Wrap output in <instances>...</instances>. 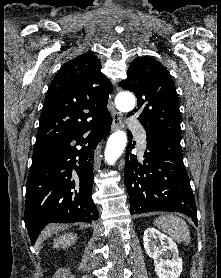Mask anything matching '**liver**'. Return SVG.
Returning a JSON list of instances; mask_svg holds the SVG:
<instances>
[{
	"label": "liver",
	"mask_w": 221,
	"mask_h": 278,
	"mask_svg": "<svg viewBox=\"0 0 221 278\" xmlns=\"http://www.w3.org/2000/svg\"><path fill=\"white\" fill-rule=\"evenodd\" d=\"M77 240V235L73 233H66L63 236H60L58 239L54 240V248H68Z\"/></svg>",
	"instance_id": "1"
}]
</instances>
